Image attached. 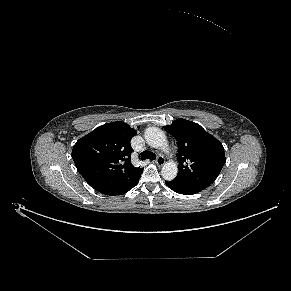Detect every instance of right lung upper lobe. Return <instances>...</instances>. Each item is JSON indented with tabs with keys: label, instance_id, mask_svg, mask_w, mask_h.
<instances>
[{
	"label": "right lung upper lobe",
	"instance_id": "cb5924a9",
	"mask_svg": "<svg viewBox=\"0 0 291 291\" xmlns=\"http://www.w3.org/2000/svg\"><path fill=\"white\" fill-rule=\"evenodd\" d=\"M136 130L124 122L99 126L79 139L72 158L86 182L103 194H111L131 184L143 171L131 163L130 141Z\"/></svg>",
	"mask_w": 291,
	"mask_h": 291
}]
</instances>
